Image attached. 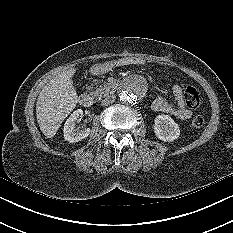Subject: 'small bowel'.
Listing matches in <instances>:
<instances>
[{"label": "small bowel", "instance_id": "1", "mask_svg": "<svg viewBox=\"0 0 233 233\" xmlns=\"http://www.w3.org/2000/svg\"><path fill=\"white\" fill-rule=\"evenodd\" d=\"M176 103L171 104L162 97L156 98L152 103L155 112L172 115L180 120H187L192 116V111L187 107L184 100L183 88L176 84L172 89Z\"/></svg>", "mask_w": 233, "mask_h": 233}]
</instances>
